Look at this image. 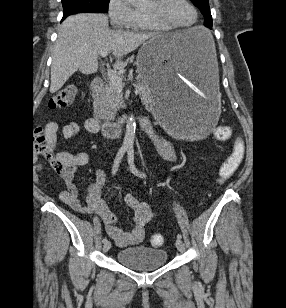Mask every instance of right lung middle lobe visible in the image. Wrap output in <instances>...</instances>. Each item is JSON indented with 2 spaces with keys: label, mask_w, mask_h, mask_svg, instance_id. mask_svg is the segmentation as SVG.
Listing matches in <instances>:
<instances>
[{
  "label": "right lung middle lobe",
  "mask_w": 286,
  "mask_h": 308,
  "mask_svg": "<svg viewBox=\"0 0 286 308\" xmlns=\"http://www.w3.org/2000/svg\"><path fill=\"white\" fill-rule=\"evenodd\" d=\"M110 0H62L63 18L80 12H107Z\"/></svg>",
  "instance_id": "right-lung-middle-lobe-1"
}]
</instances>
